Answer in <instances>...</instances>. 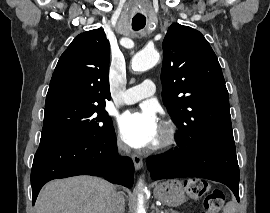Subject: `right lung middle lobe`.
<instances>
[{
    "label": "right lung middle lobe",
    "instance_id": "1",
    "mask_svg": "<svg viewBox=\"0 0 270 213\" xmlns=\"http://www.w3.org/2000/svg\"><path fill=\"white\" fill-rule=\"evenodd\" d=\"M113 129L104 104L63 102L45 107L41 139L99 138Z\"/></svg>",
    "mask_w": 270,
    "mask_h": 213
}]
</instances>
